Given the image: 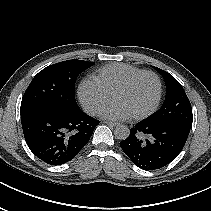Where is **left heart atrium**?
Returning a JSON list of instances; mask_svg holds the SVG:
<instances>
[{"label":"left heart atrium","instance_id":"39dd6f15","mask_svg":"<svg viewBox=\"0 0 211 211\" xmlns=\"http://www.w3.org/2000/svg\"><path fill=\"white\" fill-rule=\"evenodd\" d=\"M101 116L109 120H124L129 118L130 113L117 102H112L107 108H105Z\"/></svg>","mask_w":211,"mask_h":211}]
</instances>
